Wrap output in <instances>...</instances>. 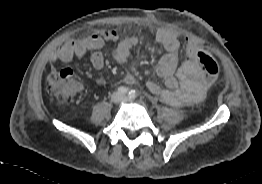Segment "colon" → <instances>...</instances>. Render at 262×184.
<instances>
[{
	"label": "colon",
	"instance_id": "obj_1",
	"mask_svg": "<svg viewBox=\"0 0 262 184\" xmlns=\"http://www.w3.org/2000/svg\"><path fill=\"white\" fill-rule=\"evenodd\" d=\"M195 56L209 83L217 80L220 66L214 57L203 49H197ZM47 90L59 105L67 102L78 90L79 84L70 69L52 72L47 77Z\"/></svg>",
	"mask_w": 262,
	"mask_h": 184
}]
</instances>
